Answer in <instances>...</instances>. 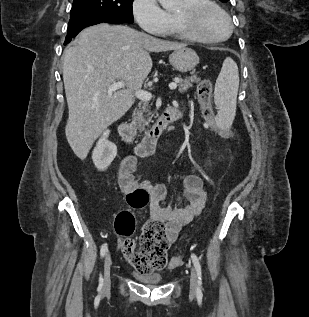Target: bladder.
<instances>
[{
  "instance_id": "1",
  "label": "bladder",
  "mask_w": 309,
  "mask_h": 317,
  "mask_svg": "<svg viewBox=\"0 0 309 317\" xmlns=\"http://www.w3.org/2000/svg\"><path fill=\"white\" fill-rule=\"evenodd\" d=\"M133 276L138 281L145 283V284H159L162 282L163 278L162 275L159 273H137L134 272Z\"/></svg>"
}]
</instances>
